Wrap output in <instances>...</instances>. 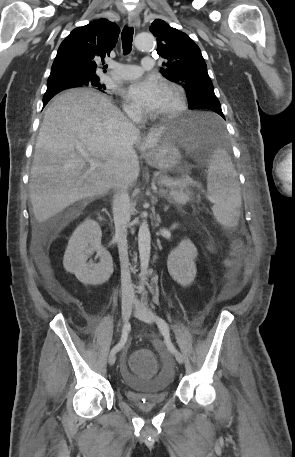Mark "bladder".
Here are the masks:
<instances>
[{"instance_id":"31cf9c89","label":"bladder","mask_w":295,"mask_h":457,"mask_svg":"<svg viewBox=\"0 0 295 457\" xmlns=\"http://www.w3.org/2000/svg\"><path fill=\"white\" fill-rule=\"evenodd\" d=\"M154 350L156 354H160L162 370L159 374H154L153 378H137L131 375L130 360L128 364L119 366L118 376L124 378V383L127 384L124 395L135 405L137 411H152L153 407L164 404L170 398L168 385L175 372L172 355L166 352V346L162 343L156 345Z\"/></svg>"}]
</instances>
